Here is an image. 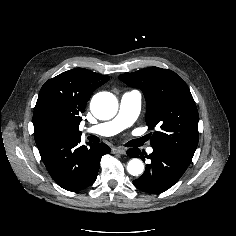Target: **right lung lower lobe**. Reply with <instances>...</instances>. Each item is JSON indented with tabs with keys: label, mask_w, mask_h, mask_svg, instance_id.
<instances>
[{
	"label": "right lung lower lobe",
	"mask_w": 236,
	"mask_h": 236,
	"mask_svg": "<svg viewBox=\"0 0 236 236\" xmlns=\"http://www.w3.org/2000/svg\"><path fill=\"white\" fill-rule=\"evenodd\" d=\"M81 136L65 137L41 144L40 156L54 181L63 189L77 192L96 180L101 157L110 153L104 144L80 146Z\"/></svg>",
	"instance_id": "obj_1"
}]
</instances>
